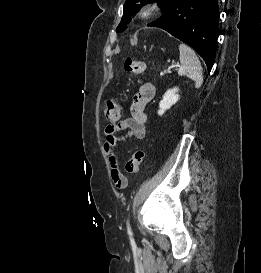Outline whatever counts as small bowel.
I'll return each mask as SVG.
<instances>
[{"label":"small bowel","mask_w":261,"mask_h":273,"mask_svg":"<svg viewBox=\"0 0 261 273\" xmlns=\"http://www.w3.org/2000/svg\"><path fill=\"white\" fill-rule=\"evenodd\" d=\"M156 88L150 83H144L133 98L130 107V116L109 124L105 128L104 151L110 163V174L114 185L117 187L118 179H123L125 186L127 178L121 172L115 147L118 142L128 139H143L146 135L145 123L147 120L146 107L155 97ZM118 188V187H117Z\"/></svg>","instance_id":"1"}]
</instances>
